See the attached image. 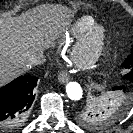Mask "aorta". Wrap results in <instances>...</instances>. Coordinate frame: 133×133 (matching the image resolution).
Listing matches in <instances>:
<instances>
[{
  "mask_svg": "<svg viewBox=\"0 0 133 133\" xmlns=\"http://www.w3.org/2000/svg\"><path fill=\"white\" fill-rule=\"evenodd\" d=\"M67 96L74 101H78L83 96V90L77 82H69L66 85Z\"/></svg>",
  "mask_w": 133,
  "mask_h": 133,
  "instance_id": "762f6f07",
  "label": "aorta"
}]
</instances>
